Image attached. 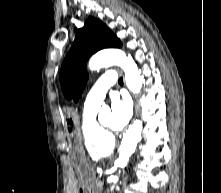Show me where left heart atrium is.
I'll use <instances>...</instances> for the list:
<instances>
[{
	"label": "left heart atrium",
	"mask_w": 221,
	"mask_h": 193,
	"mask_svg": "<svg viewBox=\"0 0 221 193\" xmlns=\"http://www.w3.org/2000/svg\"><path fill=\"white\" fill-rule=\"evenodd\" d=\"M113 124L115 129H123L132 116V105L127 97L114 96L111 100Z\"/></svg>",
	"instance_id": "39dd6f15"
}]
</instances>
